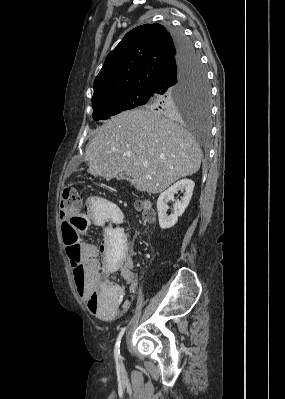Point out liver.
Returning a JSON list of instances; mask_svg holds the SVG:
<instances>
[{
    "mask_svg": "<svg viewBox=\"0 0 285 399\" xmlns=\"http://www.w3.org/2000/svg\"><path fill=\"white\" fill-rule=\"evenodd\" d=\"M201 159L202 150L190 132L146 109L113 116L99 128L85 152L90 174L110 180L125 173L138 191L152 194L196 173Z\"/></svg>",
    "mask_w": 285,
    "mask_h": 399,
    "instance_id": "6515ba94",
    "label": "liver"
}]
</instances>
